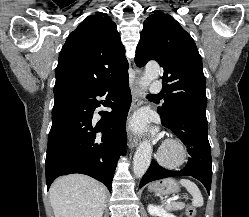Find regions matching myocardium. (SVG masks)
<instances>
[{"label":"myocardium","instance_id":"obj_1","mask_svg":"<svg viewBox=\"0 0 249 217\" xmlns=\"http://www.w3.org/2000/svg\"><path fill=\"white\" fill-rule=\"evenodd\" d=\"M188 157L184 143L177 138L166 139L158 153V161L167 168H177L183 165Z\"/></svg>","mask_w":249,"mask_h":217}]
</instances>
